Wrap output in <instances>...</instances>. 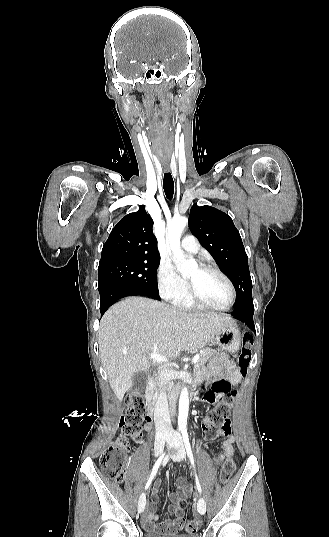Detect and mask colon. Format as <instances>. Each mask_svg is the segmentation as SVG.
Returning a JSON list of instances; mask_svg holds the SVG:
<instances>
[{
	"instance_id": "colon-1",
	"label": "colon",
	"mask_w": 329,
	"mask_h": 537,
	"mask_svg": "<svg viewBox=\"0 0 329 537\" xmlns=\"http://www.w3.org/2000/svg\"><path fill=\"white\" fill-rule=\"evenodd\" d=\"M253 357V339L245 335L242 340L241 352L238 357L239 370L242 375L247 373L248 367ZM235 393L231 396L214 400L216 407L204 418L203 425L208 428H220L223 430L228 421L229 414L234 403ZM144 399L139 391L127 394L124 398V414L120 418V434L111 441L101 452L100 464L103 474L114 482H122L125 478L127 454L130 448V439L139 442L143 436L142 425L148 421ZM235 469L233 459H228L222 466L220 480L222 484H227ZM185 532L195 534L198 531L199 521L191 519L184 520Z\"/></svg>"
}]
</instances>
